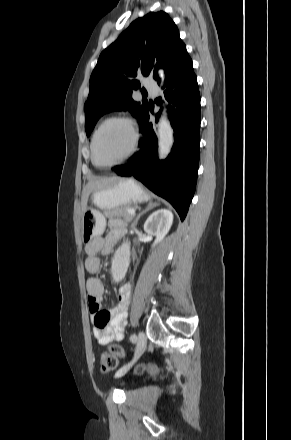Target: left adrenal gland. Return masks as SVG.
I'll return each mask as SVG.
<instances>
[{
  "mask_svg": "<svg viewBox=\"0 0 291 440\" xmlns=\"http://www.w3.org/2000/svg\"><path fill=\"white\" fill-rule=\"evenodd\" d=\"M155 206H157V203H150V204L147 206V208H146L145 210L141 211V212L137 215V217H136V219L134 220V222L132 223V227H135V226L137 225L138 220L140 219V217H141L143 214H145L147 211H149L150 209H152V208L155 207Z\"/></svg>",
  "mask_w": 291,
  "mask_h": 440,
  "instance_id": "obj_1",
  "label": "left adrenal gland"
}]
</instances>
